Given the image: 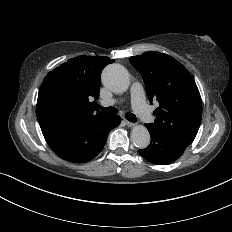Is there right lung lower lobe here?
I'll return each instance as SVG.
<instances>
[{"label":"right lung lower lobe","mask_w":232,"mask_h":232,"mask_svg":"<svg viewBox=\"0 0 232 232\" xmlns=\"http://www.w3.org/2000/svg\"><path fill=\"white\" fill-rule=\"evenodd\" d=\"M120 122L118 115H96L83 120L43 123L40 127L56 155L69 162L85 163L101 152L109 132Z\"/></svg>","instance_id":"right-lung-lower-lobe-1"}]
</instances>
